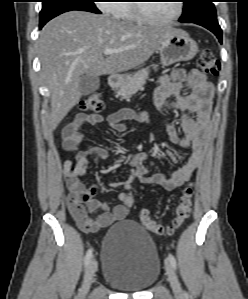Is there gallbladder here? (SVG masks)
<instances>
[{"label": "gallbladder", "instance_id": "bac80fb5", "mask_svg": "<svg viewBox=\"0 0 248 299\" xmlns=\"http://www.w3.org/2000/svg\"><path fill=\"white\" fill-rule=\"evenodd\" d=\"M99 85V77L84 74L80 79L79 89L81 91V94L86 96L96 91L99 88Z\"/></svg>", "mask_w": 248, "mask_h": 299}]
</instances>
